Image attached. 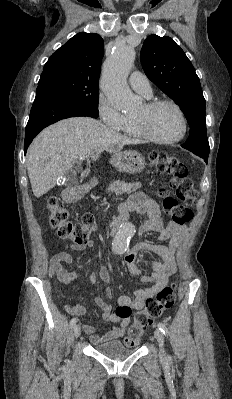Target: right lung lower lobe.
Instances as JSON below:
<instances>
[{
  "label": "right lung lower lobe",
  "instance_id": "right-lung-lower-lobe-1",
  "mask_svg": "<svg viewBox=\"0 0 232 399\" xmlns=\"http://www.w3.org/2000/svg\"><path fill=\"white\" fill-rule=\"evenodd\" d=\"M95 113L84 106L48 93H36L30 118L26 126L24 153L33 138L45 127L62 119L78 116L97 118Z\"/></svg>",
  "mask_w": 232,
  "mask_h": 399
}]
</instances>
